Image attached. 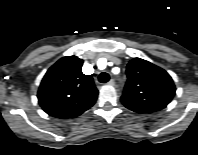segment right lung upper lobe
Wrapping results in <instances>:
<instances>
[{
  "label": "right lung upper lobe",
  "instance_id": "right-lung-upper-lobe-1",
  "mask_svg": "<svg viewBox=\"0 0 198 155\" xmlns=\"http://www.w3.org/2000/svg\"><path fill=\"white\" fill-rule=\"evenodd\" d=\"M82 65V59L66 56L47 71L37 95L47 114L62 119L73 118L95 103L98 90L93 78L82 73Z\"/></svg>",
  "mask_w": 198,
  "mask_h": 155
}]
</instances>
